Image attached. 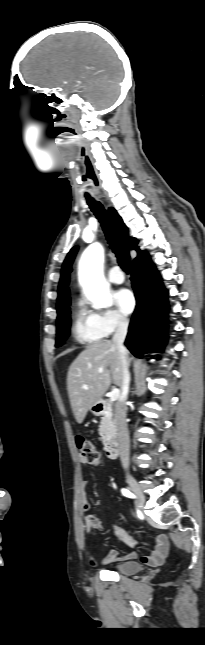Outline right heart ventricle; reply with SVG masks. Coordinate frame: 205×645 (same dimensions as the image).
<instances>
[{
  "label": "right heart ventricle",
  "mask_w": 205,
  "mask_h": 645,
  "mask_svg": "<svg viewBox=\"0 0 205 645\" xmlns=\"http://www.w3.org/2000/svg\"><path fill=\"white\" fill-rule=\"evenodd\" d=\"M72 331L78 342L87 344L97 343L105 336L96 324L95 314L81 304L75 310Z\"/></svg>",
  "instance_id": "obj_1"
}]
</instances>
